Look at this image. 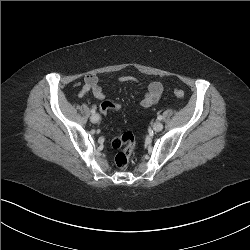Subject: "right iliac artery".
<instances>
[{"instance_id":"82829eb1","label":"right iliac artery","mask_w":250,"mask_h":250,"mask_svg":"<svg viewBox=\"0 0 250 250\" xmlns=\"http://www.w3.org/2000/svg\"><path fill=\"white\" fill-rule=\"evenodd\" d=\"M96 110L94 108L91 109V113L94 114Z\"/></svg>"}]
</instances>
